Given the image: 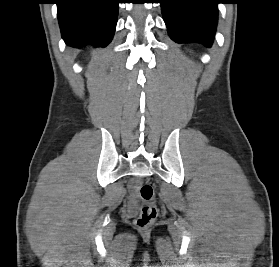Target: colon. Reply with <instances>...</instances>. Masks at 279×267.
<instances>
[{"mask_svg": "<svg viewBox=\"0 0 279 267\" xmlns=\"http://www.w3.org/2000/svg\"><path fill=\"white\" fill-rule=\"evenodd\" d=\"M139 194L142 200V206L140 214L135 220V224L139 228H146L155 221L158 215L154 188L152 185L144 183L139 187Z\"/></svg>", "mask_w": 279, "mask_h": 267, "instance_id": "1", "label": "colon"}]
</instances>
